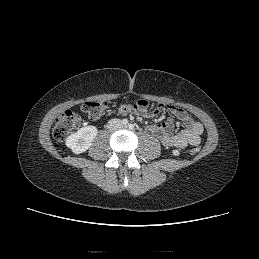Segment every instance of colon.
<instances>
[{"mask_svg":"<svg viewBox=\"0 0 259 259\" xmlns=\"http://www.w3.org/2000/svg\"><path fill=\"white\" fill-rule=\"evenodd\" d=\"M108 102L97 101V102H86L82 106V110L87 114L88 118L91 121L98 120L107 106ZM160 107H158L154 114L160 112ZM117 111L120 114L129 113L131 111L138 113H147L148 112V103L143 99L135 101L133 104L121 105L118 107ZM82 119L78 113L73 111H66L62 113L56 119L55 126L53 128V136L56 140H64L73 130L80 127ZM199 152V147L194 146L190 150L191 155H196Z\"/></svg>","mask_w":259,"mask_h":259,"instance_id":"obj_1","label":"colon"}]
</instances>
